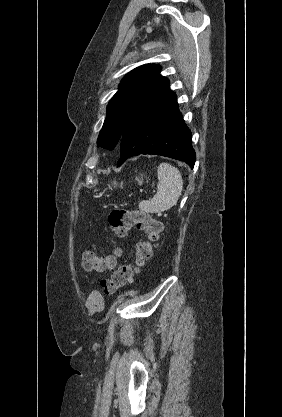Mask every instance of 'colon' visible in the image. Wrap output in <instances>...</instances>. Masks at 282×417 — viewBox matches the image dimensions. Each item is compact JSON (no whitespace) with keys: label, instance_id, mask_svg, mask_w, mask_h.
Returning a JSON list of instances; mask_svg holds the SVG:
<instances>
[{"label":"colon","instance_id":"1","mask_svg":"<svg viewBox=\"0 0 282 417\" xmlns=\"http://www.w3.org/2000/svg\"><path fill=\"white\" fill-rule=\"evenodd\" d=\"M109 226L117 237H125L136 226L143 230L145 236L137 241L132 260L120 265L115 273L102 279L100 285L105 295H113L133 281L135 271L143 267L153 255V249L161 238L162 224L150 213L142 209L116 208L109 215ZM112 257H101L90 251L83 252L81 262L89 271L102 272L112 266Z\"/></svg>","mask_w":282,"mask_h":417}]
</instances>
